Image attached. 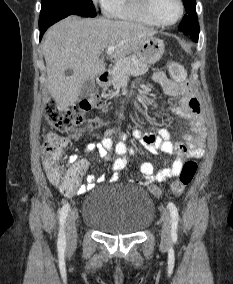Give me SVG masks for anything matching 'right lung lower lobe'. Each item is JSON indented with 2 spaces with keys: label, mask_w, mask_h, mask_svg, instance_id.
<instances>
[{
  "label": "right lung lower lobe",
  "mask_w": 233,
  "mask_h": 284,
  "mask_svg": "<svg viewBox=\"0 0 233 284\" xmlns=\"http://www.w3.org/2000/svg\"><path fill=\"white\" fill-rule=\"evenodd\" d=\"M49 28V26L47 27H43V28H40V38L42 37V35L44 34V32Z\"/></svg>",
  "instance_id": "98d812e1"
}]
</instances>
